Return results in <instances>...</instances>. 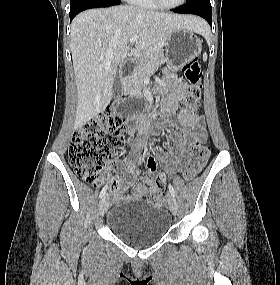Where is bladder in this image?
I'll return each instance as SVG.
<instances>
[{
  "mask_svg": "<svg viewBox=\"0 0 280 285\" xmlns=\"http://www.w3.org/2000/svg\"><path fill=\"white\" fill-rule=\"evenodd\" d=\"M106 222L117 237L134 245H143L162 238L171 225V217L165 208L132 199L112 206Z\"/></svg>",
  "mask_w": 280,
  "mask_h": 285,
  "instance_id": "31cf9c89",
  "label": "bladder"
}]
</instances>
